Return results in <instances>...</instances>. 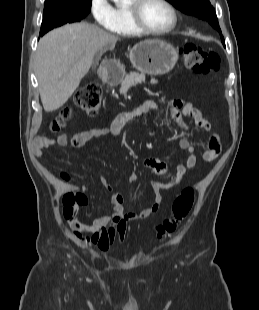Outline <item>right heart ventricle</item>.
I'll use <instances>...</instances> for the list:
<instances>
[{"label": "right heart ventricle", "mask_w": 259, "mask_h": 310, "mask_svg": "<svg viewBox=\"0 0 259 310\" xmlns=\"http://www.w3.org/2000/svg\"><path fill=\"white\" fill-rule=\"evenodd\" d=\"M114 14V25L111 27L113 32L122 36H132L138 33L130 22L127 6H117Z\"/></svg>", "instance_id": "obj_1"}]
</instances>
